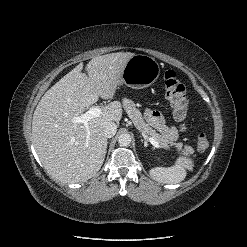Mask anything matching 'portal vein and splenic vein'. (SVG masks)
Returning <instances> with one entry per match:
<instances>
[{"instance_id":"1","label":"portal vein and splenic vein","mask_w":247,"mask_h":247,"mask_svg":"<svg viewBox=\"0 0 247 247\" xmlns=\"http://www.w3.org/2000/svg\"><path fill=\"white\" fill-rule=\"evenodd\" d=\"M102 113L101 108L98 107H91L87 112L84 114L74 117V123H83L88 131V122L95 117H98ZM148 141L155 147H159V143L153 139L152 137H148Z\"/></svg>"}]
</instances>
